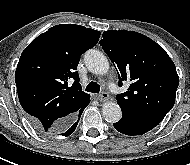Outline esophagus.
I'll return each mask as SVG.
<instances>
[{
    "mask_svg": "<svg viewBox=\"0 0 190 165\" xmlns=\"http://www.w3.org/2000/svg\"><path fill=\"white\" fill-rule=\"evenodd\" d=\"M98 100L100 102H105L107 100H109V94L107 92H102L99 96H98Z\"/></svg>",
    "mask_w": 190,
    "mask_h": 165,
    "instance_id": "1",
    "label": "esophagus"
}]
</instances>
